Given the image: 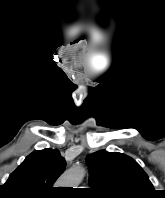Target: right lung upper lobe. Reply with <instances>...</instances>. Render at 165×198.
Masks as SVG:
<instances>
[{
    "label": "right lung upper lobe",
    "instance_id": "right-lung-upper-lobe-1",
    "mask_svg": "<svg viewBox=\"0 0 165 198\" xmlns=\"http://www.w3.org/2000/svg\"><path fill=\"white\" fill-rule=\"evenodd\" d=\"M65 160L58 150L32 152L9 176L3 188L27 198H44L53 192L51 187L65 169Z\"/></svg>",
    "mask_w": 165,
    "mask_h": 198
}]
</instances>
